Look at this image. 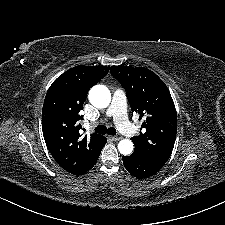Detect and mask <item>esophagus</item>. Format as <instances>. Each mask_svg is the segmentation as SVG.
Instances as JSON below:
<instances>
[{
  "instance_id": "obj_1",
  "label": "esophagus",
  "mask_w": 225,
  "mask_h": 225,
  "mask_svg": "<svg viewBox=\"0 0 225 225\" xmlns=\"http://www.w3.org/2000/svg\"><path fill=\"white\" fill-rule=\"evenodd\" d=\"M112 141H118L121 139V136L120 135H116V136H110L109 137Z\"/></svg>"
}]
</instances>
